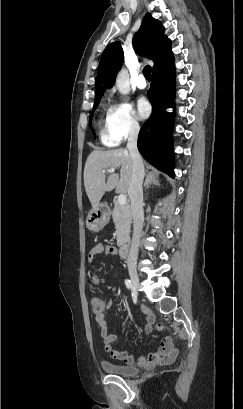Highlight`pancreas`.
Listing matches in <instances>:
<instances>
[{
	"instance_id": "obj_1",
	"label": "pancreas",
	"mask_w": 243,
	"mask_h": 409,
	"mask_svg": "<svg viewBox=\"0 0 243 409\" xmlns=\"http://www.w3.org/2000/svg\"><path fill=\"white\" fill-rule=\"evenodd\" d=\"M112 217L115 223L118 244H124L129 240L131 229V212L128 204H114Z\"/></svg>"
}]
</instances>
